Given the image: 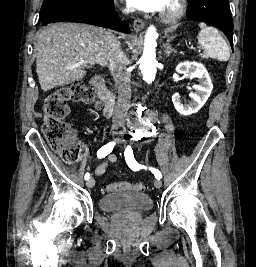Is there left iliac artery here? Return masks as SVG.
<instances>
[{"label":"left iliac artery","mask_w":256,"mask_h":267,"mask_svg":"<svg viewBox=\"0 0 256 267\" xmlns=\"http://www.w3.org/2000/svg\"><path fill=\"white\" fill-rule=\"evenodd\" d=\"M124 156H125L126 163L133 171H136V170L138 171L139 169L146 168L144 165L137 163L133 155V150L130 146H127V148L125 149ZM149 169L155 175L156 179L162 178V174L158 169H155L152 167H150Z\"/></svg>","instance_id":"44dca946"}]
</instances>
